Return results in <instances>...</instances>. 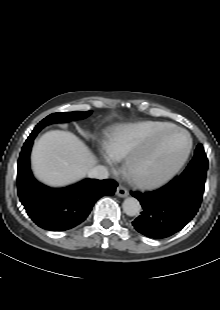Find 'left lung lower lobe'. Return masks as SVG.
<instances>
[{
	"mask_svg": "<svg viewBox=\"0 0 220 310\" xmlns=\"http://www.w3.org/2000/svg\"><path fill=\"white\" fill-rule=\"evenodd\" d=\"M205 178L177 176L163 188L145 194L134 192L143 208L133 222L143 235L161 239L180 231L197 213Z\"/></svg>",
	"mask_w": 220,
	"mask_h": 310,
	"instance_id": "obj_1",
	"label": "left lung lower lobe"
}]
</instances>
